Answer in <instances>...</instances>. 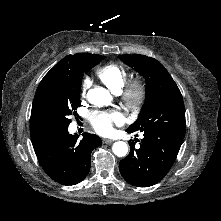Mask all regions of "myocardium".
Segmentation results:
<instances>
[{
	"label": "myocardium",
	"instance_id": "myocardium-1",
	"mask_svg": "<svg viewBox=\"0 0 221 221\" xmlns=\"http://www.w3.org/2000/svg\"><path fill=\"white\" fill-rule=\"evenodd\" d=\"M147 95V85L146 82L140 78L136 77L124 85L121 91V99L125 107L132 112L140 110L145 102Z\"/></svg>",
	"mask_w": 221,
	"mask_h": 221
}]
</instances>
